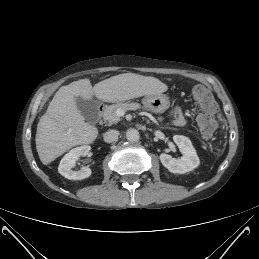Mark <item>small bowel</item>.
I'll use <instances>...</instances> for the list:
<instances>
[{
  "mask_svg": "<svg viewBox=\"0 0 259 259\" xmlns=\"http://www.w3.org/2000/svg\"><path fill=\"white\" fill-rule=\"evenodd\" d=\"M170 120L175 125H184L186 120L181 108L176 107L170 113Z\"/></svg>",
  "mask_w": 259,
  "mask_h": 259,
  "instance_id": "c3829d8e",
  "label": "small bowel"
}]
</instances>
